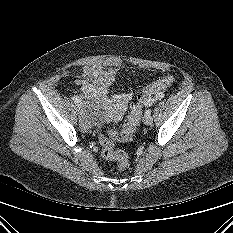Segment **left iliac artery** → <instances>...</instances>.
<instances>
[{
	"label": "left iliac artery",
	"mask_w": 233,
	"mask_h": 233,
	"mask_svg": "<svg viewBox=\"0 0 233 233\" xmlns=\"http://www.w3.org/2000/svg\"><path fill=\"white\" fill-rule=\"evenodd\" d=\"M151 114V110H146L145 111V115H150Z\"/></svg>",
	"instance_id": "1"
}]
</instances>
